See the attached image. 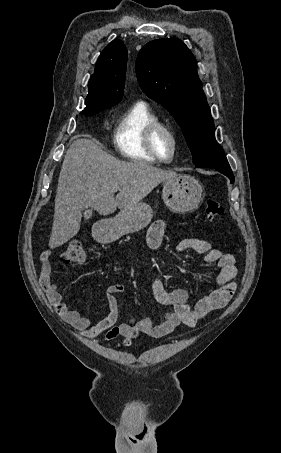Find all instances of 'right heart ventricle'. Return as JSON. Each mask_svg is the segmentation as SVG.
<instances>
[{
    "instance_id": "e07e8e85",
    "label": "right heart ventricle",
    "mask_w": 281,
    "mask_h": 453,
    "mask_svg": "<svg viewBox=\"0 0 281 453\" xmlns=\"http://www.w3.org/2000/svg\"><path fill=\"white\" fill-rule=\"evenodd\" d=\"M158 121L157 116L143 102H135L124 108L118 117L114 133L116 151L128 160L156 162L148 151L146 135L149 127Z\"/></svg>"
}]
</instances>
